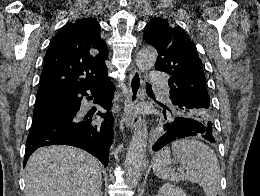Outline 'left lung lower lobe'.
<instances>
[{
  "mask_svg": "<svg viewBox=\"0 0 260 196\" xmlns=\"http://www.w3.org/2000/svg\"><path fill=\"white\" fill-rule=\"evenodd\" d=\"M213 130V125H205L189 118H178L165 126L164 134L153 145L152 149L158 151L166 144L188 136H202L209 142H215Z\"/></svg>",
  "mask_w": 260,
  "mask_h": 196,
  "instance_id": "left-lung-lower-lobe-1",
  "label": "left lung lower lobe"
}]
</instances>
